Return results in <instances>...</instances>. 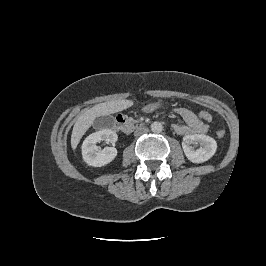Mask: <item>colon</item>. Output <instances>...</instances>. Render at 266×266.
<instances>
[{
	"label": "colon",
	"instance_id": "1",
	"mask_svg": "<svg viewBox=\"0 0 266 266\" xmlns=\"http://www.w3.org/2000/svg\"><path fill=\"white\" fill-rule=\"evenodd\" d=\"M198 118L202 121L210 122L212 120V115L206 110H201L198 112ZM216 134L219 138H222L225 136V130H218Z\"/></svg>",
	"mask_w": 266,
	"mask_h": 266
}]
</instances>
